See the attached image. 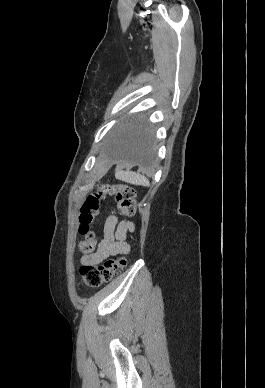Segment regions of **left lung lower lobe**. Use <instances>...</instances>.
<instances>
[{
	"mask_svg": "<svg viewBox=\"0 0 265 388\" xmlns=\"http://www.w3.org/2000/svg\"><path fill=\"white\" fill-rule=\"evenodd\" d=\"M108 150L120 160L151 166L154 160L152 132L139 120L128 122L112 137Z\"/></svg>",
	"mask_w": 265,
	"mask_h": 388,
	"instance_id": "left-lung-lower-lobe-1",
	"label": "left lung lower lobe"
}]
</instances>
